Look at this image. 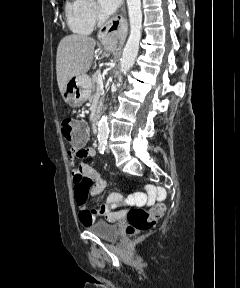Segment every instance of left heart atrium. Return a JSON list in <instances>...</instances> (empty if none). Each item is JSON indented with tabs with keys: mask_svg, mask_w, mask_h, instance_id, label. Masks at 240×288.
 <instances>
[{
	"mask_svg": "<svg viewBox=\"0 0 240 288\" xmlns=\"http://www.w3.org/2000/svg\"><path fill=\"white\" fill-rule=\"evenodd\" d=\"M121 2L122 0H98L100 8L105 14L113 13Z\"/></svg>",
	"mask_w": 240,
	"mask_h": 288,
	"instance_id": "1",
	"label": "left heart atrium"
}]
</instances>
